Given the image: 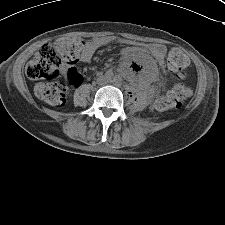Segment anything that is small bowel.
Listing matches in <instances>:
<instances>
[{
  "label": "small bowel",
  "mask_w": 225,
  "mask_h": 225,
  "mask_svg": "<svg viewBox=\"0 0 225 225\" xmlns=\"http://www.w3.org/2000/svg\"><path fill=\"white\" fill-rule=\"evenodd\" d=\"M113 41H115V39L112 37H96L86 41L82 47L80 60L84 63L90 62L94 53L99 48ZM136 51L147 52L158 62H162L166 54V48L160 44H149L145 47L127 46L122 49V54L130 55ZM62 72L66 76V68H63Z\"/></svg>",
  "instance_id": "c3829d8e"
}]
</instances>
